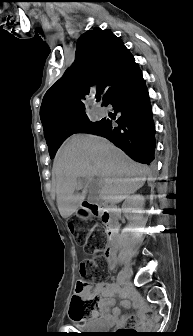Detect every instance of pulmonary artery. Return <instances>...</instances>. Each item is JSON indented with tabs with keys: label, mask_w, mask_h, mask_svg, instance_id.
<instances>
[{
	"label": "pulmonary artery",
	"mask_w": 193,
	"mask_h": 336,
	"mask_svg": "<svg viewBox=\"0 0 193 336\" xmlns=\"http://www.w3.org/2000/svg\"><path fill=\"white\" fill-rule=\"evenodd\" d=\"M96 111H97V113L100 114V115H102V114L104 113L103 109H100V108L97 109Z\"/></svg>",
	"instance_id": "1"
}]
</instances>
